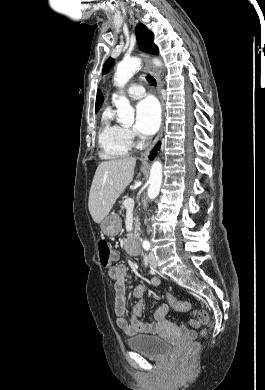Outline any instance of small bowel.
<instances>
[{
    "instance_id": "1",
    "label": "small bowel",
    "mask_w": 265,
    "mask_h": 390,
    "mask_svg": "<svg viewBox=\"0 0 265 390\" xmlns=\"http://www.w3.org/2000/svg\"><path fill=\"white\" fill-rule=\"evenodd\" d=\"M115 259L118 255L114 253ZM127 266L125 264H117L108 269L109 277L114 280L115 288V313H116V324L119 329H121L126 335H134L137 333H156L159 328L165 323L166 315L169 310L167 304L161 305L154 313V322L145 323L140 318L144 312V295L145 287L143 285H138L133 289V297L137 299L136 304L132 310L131 319L128 321L125 318V309H126V285L125 279L127 275ZM154 285L160 286L163 284V281L159 278H154L152 280ZM193 329H188L185 326H180L178 331L180 334L186 336L187 338L196 337V328L199 327L198 321L192 322Z\"/></svg>"
}]
</instances>
